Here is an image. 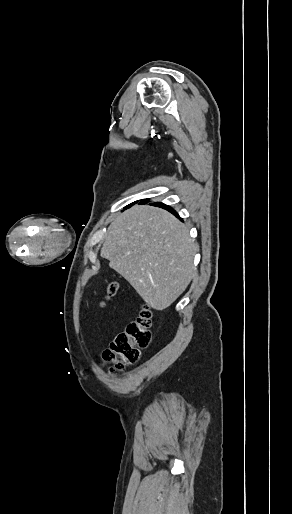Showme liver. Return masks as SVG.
<instances>
[{
    "label": "liver",
    "mask_w": 292,
    "mask_h": 514,
    "mask_svg": "<svg viewBox=\"0 0 292 514\" xmlns=\"http://www.w3.org/2000/svg\"><path fill=\"white\" fill-rule=\"evenodd\" d=\"M197 246L172 214L133 206L108 228L101 258L121 274L147 306L165 310L186 290L195 270Z\"/></svg>",
    "instance_id": "obj_1"
}]
</instances>
